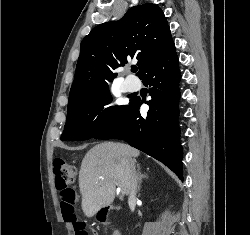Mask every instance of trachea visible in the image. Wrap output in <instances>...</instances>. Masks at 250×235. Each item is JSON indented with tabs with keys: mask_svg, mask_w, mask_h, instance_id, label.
<instances>
[{
	"mask_svg": "<svg viewBox=\"0 0 250 235\" xmlns=\"http://www.w3.org/2000/svg\"><path fill=\"white\" fill-rule=\"evenodd\" d=\"M137 70H138L137 67H132V68H131V71H132V72H137Z\"/></svg>",
	"mask_w": 250,
	"mask_h": 235,
	"instance_id": "obj_1",
	"label": "trachea"
}]
</instances>
